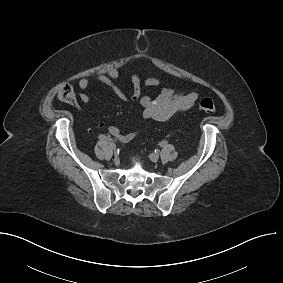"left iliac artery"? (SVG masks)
Segmentation results:
<instances>
[{
    "instance_id": "1",
    "label": "left iliac artery",
    "mask_w": 283,
    "mask_h": 283,
    "mask_svg": "<svg viewBox=\"0 0 283 283\" xmlns=\"http://www.w3.org/2000/svg\"><path fill=\"white\" fill-rule=\"evenodd\" d=\"M167 144H168L167 141H162V142H160V146H161V147H165Z\"/></svg>"
}]
</instances>
